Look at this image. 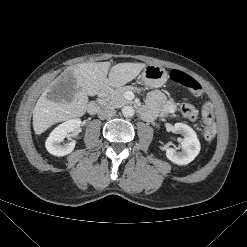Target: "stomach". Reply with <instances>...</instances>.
I'll return each instance as SVG.
<instances>
[{
    "instance_id": "obj_1",
    "label": "stomach",
    "mask_w": 247,
    "mask_h": 247,
    "mask_svg": "<svg viewBox=\"0 0 247 247\" xmlns=\"http://www.w3.org/2000/svg\"><path fill=\"white\" fill-rule=\"evenodd\" d=\"M168 74L167 71L157 65H147L139 79L146 85L157 88L164 85L167 81Z\"/></svg>"
}]
</instances>
